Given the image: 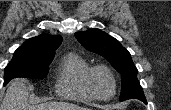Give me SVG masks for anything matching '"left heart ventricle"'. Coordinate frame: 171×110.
I'll use <instances>...</instances> for the list:
<instances>
[{
	"mask_svg": "<svg viewBox=\"0 0 171 110\" xmlns=\"http://www.w3.org/2000/svg\"><path fill=\"white\" fill-rule=\"evenodd\" d=\"M92 85L95 92L102 97H108L113 92V83L109 75L103 71H97L92 77Z\"/></svg>",
	"mask_w": 171,
	"mask_h": 110,
	"instance_id": "b2bd125f",
	"label": "left heart ventricle"
}]
</instances>
